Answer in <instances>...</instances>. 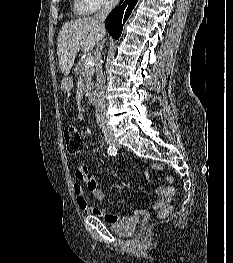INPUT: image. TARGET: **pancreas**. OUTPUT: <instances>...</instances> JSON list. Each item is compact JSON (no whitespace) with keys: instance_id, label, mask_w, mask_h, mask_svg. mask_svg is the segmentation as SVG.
I'll return each mask as SVG.
<instances>
[{"instance_id":"1","label":"pancreas","mask_w":233,"mask_h":263,"mask_svg":"<svg viewBox=\"0 0 233 263\" xmlns=\"http://www.w3.org/2000/svg\"><path fill=\"white\" fill-rule=\"evenodd\" d=\"M77 70L80 75H82L85 78L86 86L84 88V94L86 97L90 98L93 91V81L92 77L94 75V67L93 66H85V60L80 59L77 64Z\"/></svg>"}]
</instances>
